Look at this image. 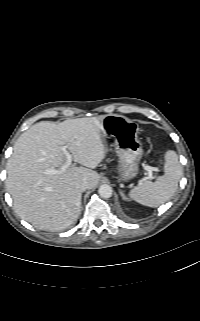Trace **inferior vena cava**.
Listing matches in <instances>:
<instances>
[{"label": "inferior vena cava", "instance_id": "602c4592", "mask_svg": "<svg viewBox=\"0 0 200 321\" xmlns=\"http://www.w3.org/2000/svg\"><path fill=\"white\" fill-rule=\"evenodd\" d=\"M76 188L80 192H84L85 190H87L89 188V184H88V182L86 180H80V181L77 182Z\"/></svg>", "mask_w": 200, "mask_h": 321}]
</instances>
